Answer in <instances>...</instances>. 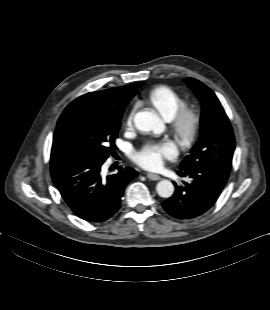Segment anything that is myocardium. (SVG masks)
<instances>
[{
  "mask_svg": "<svg viewBox=\"0 0 270 310\" xmlns=\"http://www.w3.org/2000/svg\"><path fill=\"white\" fill-rule=\"evenodd\" d=\"M170 128L180 142L190 143L198 134L201 126V114L195 106L183 105L169 120Z\"/></svg>",
  "mask_w": 270,
  "mask_h": 310,
  "instance_id": "1",
  "label": "myocardium"
}]
</instances>
